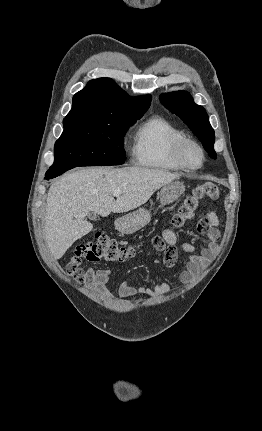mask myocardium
<instances>
[{"mask_svg":"<svg viewBox=\"0 0 262 431\" xmlns=\"http://www.w3.org/2000/svg\"><path fill=\"white\" fill-rule=\"evenodd\" d=\"M189 149L196 150L200 155V163L197 166H190L187 164L185 156ZM173 158L181 169L187 172H195L201 169L205 161V152L199 143L192 139L184 138L178 141L173 150Z\"/></svg>","mask_w":262,"mask_h":431,"instance_id":"obj_1","label":"myocardium"}]
</instances>
